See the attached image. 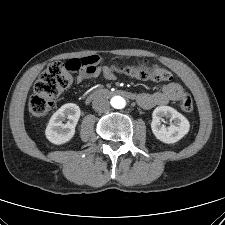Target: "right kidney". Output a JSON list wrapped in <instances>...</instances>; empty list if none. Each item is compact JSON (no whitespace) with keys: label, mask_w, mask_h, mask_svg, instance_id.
<instances>
[{"label":"right kidney","mask_w":225,"mask_h":225,"mask_svg":"<svg viewBox=\"0 0 225 225\" xmlns=\"http://www.w3.org/2000/svg\"><path fill=\"white\" fill-rule=\"evenodd\" d=\"M80 108L74 103L61 106L50 118L45 130L46 138L53 144L61 145L70 141L80 118ZM67 123H63L65 119Z\"/></svg>","instance_id":"1"}]
</instances>
